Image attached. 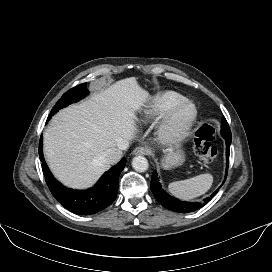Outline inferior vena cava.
I'll use <instances>...</instances> for the list:
<instances>
[{
	"label": "inferior vena cava",
	"mask_w": 272,
	"mask_h": 272,
	"mask_svg": "<svg viewBox=\"0 0 272 272\" xmlns=\"http://www.w3.org/2000/svg\"><path fill=\"white\" fill-rule=\"evenodd\" d=\"M128 147V142L121 143L118 147L108 149L103 153L102 159L105 163L114 164L122 157V150Z\"/></svg>",
	"instance_id": "obj_1"
}]
</instances>
